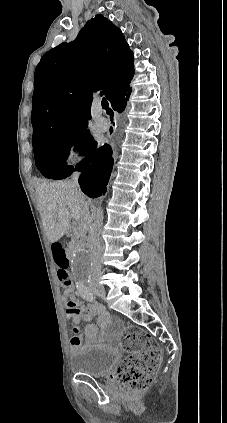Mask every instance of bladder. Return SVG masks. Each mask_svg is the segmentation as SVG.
I'll use <instances>...</instances> for the list:
<instances>
[{"instance_id": "bladder-1", "label": "bladder", "mask_w": 227, "mask_h": 423, "mask_svg": "<svg viewBox=\"0 0 227 423\" xmlns=\"http://www.w3.org/2000/svg\"><path fill=\"white\" fill-rule=\"evenodd\" d=\"M118 360V354L114 351L90 347L71 357V370L92 378H101L112 375Z\"/></svg>"}]
</instances>
